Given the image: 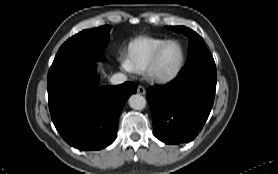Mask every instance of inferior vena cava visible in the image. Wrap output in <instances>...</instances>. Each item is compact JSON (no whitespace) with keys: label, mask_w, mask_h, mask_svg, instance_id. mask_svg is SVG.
Masks as SVG:
<instances>
[{"label":"inferior vena cava","mask_w":278,"mask_h":174,"mask_svg":"<svg viewBox=\"0 0 278 174\" xmlns=\"http://www.w3.org/2000/svg\"><path fill=\"white\" fill-rule=\"evenodd\" d=\"M126 80H127V77L123 73H116V74L112 75V77L110 78V82L114 85L122 84Z\"/></svg>","instance_id":"1"}]
</instances>
